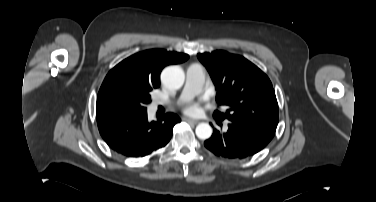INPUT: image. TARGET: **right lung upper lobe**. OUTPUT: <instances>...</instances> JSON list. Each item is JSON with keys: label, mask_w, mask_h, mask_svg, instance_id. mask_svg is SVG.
<instances>
[{"label": "right lung upper lobe", "mask_w": 376, "mask_h": 202, "mask_svg": "<svg viewBox=\"0 0 376 202\" xmlns=\"http://www.w3.org/2000/svg\"><path fill=\"white\" fill-rule=\"evenodd\" d=\"M189 58L187 54L151 49L136 53L116 65L106 77L115 73H129L151 84H160V73L169 64H178ZM97 115V114H96ZM109 115H97L101 120Z\"/></svg>", "instance_id": "cb5924a9"}]
</instances>
